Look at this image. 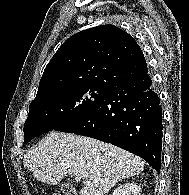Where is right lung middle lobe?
I'll return each instance as SVG.
<instances>
[{
	"label": "right lung middle lobe",
	"mask_w": 189,
	"mask_h": 195,
	"mask_svg": "<svg viewBox=\"0 0 189 195\" xmlns=\"http://www.w3.org/2000/svg\"><path fill=\"white\" fill-rule=\"evenodd\" d=\"M108 90L102 87H73L35 98L24 124V144L78 118L102 99Z\"/></svg>",
	"instance_id": "right-lung-middle-lobe-1"
}]
</instances>
